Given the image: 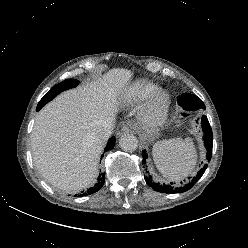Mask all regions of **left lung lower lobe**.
<instances>
[{
	"mask_svg": "<svg viewBox=\"0 0 248 248\" xmlns=\"http://www.w3.org/2000/svg\"><path fill=\"white\" fill-rule=\"evenodd\" d=\"M201 124H202V130L204 132V144L207 149V160L209 161L211 159L212 155V147H213V134H212V129L210 127L209 121L206 116H203L201 118ZM143 155V161L142 163H146V159L148 158V155L146 153V150H143L142 152ZM207 169V165H204V167L198 172L197 176L193 178V180L182 187H174V184L171 182L169 185L166 184H160L155 183L151 180V176L147 177L145 176V181L146 183L152 187L155 191L161 192V193H182L194 186V184L201 178V176L204 174L205 170Z\"/></svg>",
	"mask_w": 248,
	"mask_h": 248,
	"instance_id": "obj_1",
	"label": "left lung lower lobe"
}]
</instances>
